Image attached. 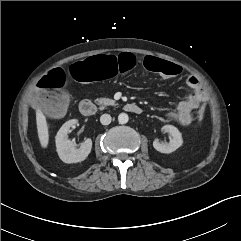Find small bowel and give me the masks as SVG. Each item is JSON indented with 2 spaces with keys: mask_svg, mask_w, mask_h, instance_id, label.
Returning a JSON list of instances; mask_svg holds the SVG:
<instances>
[{
  "mask_svg": "<svg viewBox=\"0 0 241 241\" xmlns=\"http://www.w3.org/2000/svg\"><path fill=\"white\" fill-rule=\"evenodd\" d=\"M186 82L193 89V92L186 99L179 102L175 112L170 113V116L183 126L191 124L192 111L197 109L207 98L206 91L197 77L189 76Z\"/></svg>",
  "mask_w": 241,
  "mask_h": 241,
  "instance_id": "1",
  "label": "small bowel"
}]
</instances>
